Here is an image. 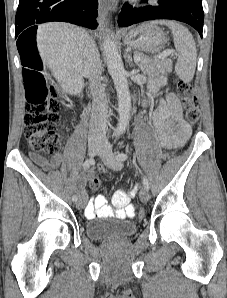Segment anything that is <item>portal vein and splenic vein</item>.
Returning <instances> with one entry per match:
<instances>
[{"label": "portal vein and splenic vein", "mask_w": 227, "mask_h": 298, "mask_svg": "<svg viewBox=\"0 0 227 298\" xmlns=\"http://www.w3.org/2000/svg\"><path fill=\"white\" fill-rule=\"evenodd\" d=\"M172 52H173L172 50L167 49V50L163 51V53L155 56V58H165V57H168ZM141 60H142V58L140 56H137V55L134 56V61L136 63L140 62Z\"/></svg>", "instance_id": "obj_1"}]
</instances>
